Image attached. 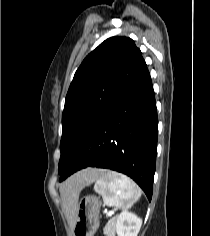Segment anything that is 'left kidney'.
<instances>
[{"label": "left kidney", "mask_w": 210, "mask_h": 236, "mask_svg": "<svg viewBox=\"0 0 210 236\" xmlns=\"http://www.w3.org/2000/svg\"><path fill=\"white\" fill-rule=\"evenodd\" d=\"M142 225V219L134 213L122 211L116 218L117 236H137Z\"/></svg>", "instance_id": "5707ae66"}]
</instances>
